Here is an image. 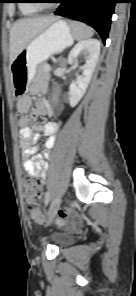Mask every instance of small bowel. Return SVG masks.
<instances>
[{"mask_svg":"<svg viewBox=\"0 0 136 296\" xmlns=\"http://www.w3.org/2000/svg\"><path fill=\"white\" fill-rule=\"evenodd\" d=\"M31 106L32 102L28 96L20 98L17 103V111L21 115L18 120V125L23 150V168L26 173L35 176L38 180L43 182L47 170L46 158L49 156L50 149L55 143L60 122L35 123L31 127L29 125L30 118L26 116V113L31 109ZM46 112V105L40 104L33 109L31 117H36ZM40 134L47 137L45 141L46 150L42 153H37V143Z\"/></svg>","mask_w":136,"mask_h":296,"instance_id":"c3829d8e","label":"small bowel"}]
</instances>
